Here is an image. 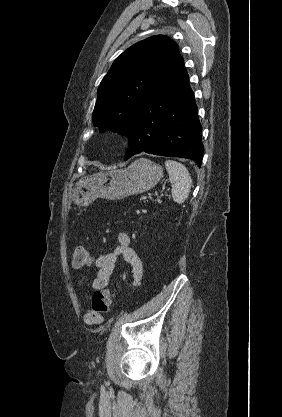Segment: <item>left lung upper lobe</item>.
Returning a JSON list of instances; mask_svg holds the SVG:
<instances>
[{
  "mask_svg": "<svg viewBox=\"0 0 282 417\" xmlns=\"http://www.w3.org/2000/svg\"><path fill=\"white\" fill-rule=\"evenodd\" d=\"M180 59L178 45L164 35L149 37L125 50L100 83L92 115L94 126L126 135L139 106Z\"/></svg>",
  "mask_w": 282,
  "mask_h": 417,
  "instance_id": "obj_1",
  "label": "left lung upper lobe"
}]
</instances>
